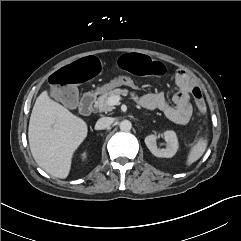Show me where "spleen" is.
<instances>
[{
	"mask_svg": "<svg viewBox=\"0 0 241 241\" xmlns=\"http://www.w3.org/2000/svg\"><path fill=\"white\" fill-rule=\"evenodd\" d=\"M207 138H199L196 143L191 147L190 152L187 156L186 165L190 166L196 162L205 152L207 148Z\"/></svg>",
	"mask_w": 241,
	"mask_h": 241,
	"instance_id": "obj_1",
	"label": "spleen"
}]
</instances>
